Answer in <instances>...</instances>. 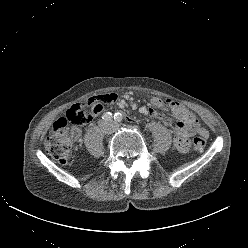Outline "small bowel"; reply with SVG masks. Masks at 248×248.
<instances>
[{
  "instance_id": "obj_1",
  "label": "small bowel",
  "mask_w": 248,
  "mask_h": 248,
  "mask_svg": "<svg viewBox=\"0 0 248 248\" xmlns=\"http://www.w3.org/2000/svg\"><path fill=\"white\" fill-rule=\"evenodd\" d=\"M105 95V94H103ZM114 102L110 105L118 104V98L115 94ZM100 96V95H99ZM151 104L153 107H141L139 112L143 115H150L152 117L160 119L163 123L169 124L170 119L165 112L169 111L176 119V134L174 136V145L180 152H187L190 147V135L197 131V120L193 114L186 109L181 103L177 101H169L168 108L164 107L163 101L160 98L154 97L151 99ZM105 104H101L99 111L96 113L98 115ZM155 108H160L163 112L156 110Z\"/></svg>"
}]
</instances>
